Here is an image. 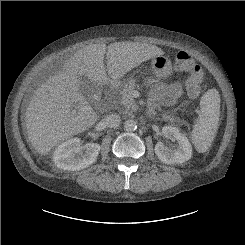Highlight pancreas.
Wrapping results in <instances>:
<instances>
[{
  "label": "pancreas",
  "mask_w": 245,
  "mask_h": 245,
  "mask_svg": "<svg viewBox=\"0 0 245 245\" xmlns=\"http://www.w3.org/2000/svg\"><path fill=\"white\" fill-rule=\"evenodd\" d=\"M136 83L132 79L130 80L123 88V90L120 92L121 97L119 99V104L122 107V112L123 113H128L130 111H135L137 109V105L135 103V100L132 97V92L135 89ZM163 118L166 120H174L175 118L171 115L168 114H163Z\"/></svg>",
  "instance_id": "1"
}]
</instances>
